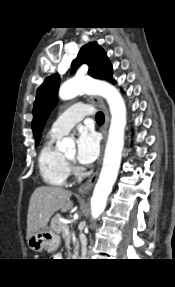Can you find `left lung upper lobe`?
<instances>
[{
    "label": "left lung upper lobe",
    "mask_w": 175,
    "mask_h": 287,
    "mask_svg": "<svg viewBox=\"0 0 175 287\" xmlns=\"http://www.w3.org/2000/svg\"><path fill=\"white\" fill-rule=\"evenodd\" d=\"M87 63L89 65L88 74L94 78L105 79L115 83L112 78V66L104 50L96 42L84 45L77 57L73 60L70 73H75L78 67ZM60 77L58 74L47 77L44 83L38 88L36 100L33 107L32 129L36 144L40 141L41 131L46 120L57 103V93Z\"/></svg>",
    "instance_id": "1"
}]
</instances>
